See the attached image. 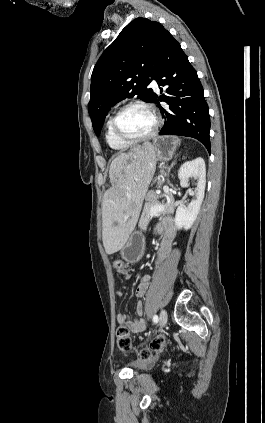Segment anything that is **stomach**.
I'll return each instance as SVG.
<instances>
[{
  "instance_id": "1",
  "label": "stomach",
  "mask_w": 265,
  "mask_h": 423,
  "mask_svg": "<svg viewBox=\"0 0 265 423\" xmlns=\"http://www.w3.org/2000/svg\"><path fill=\"white\" fill-rule=\"evenodd\" d=\"M157 160L169 161L176 150V141L171 137H159L153 142ZM144 254V237L139 231L130 234L125 245L121 249L122 258L129 263L139 262Z\"/></svg>"
}]
</instances>
